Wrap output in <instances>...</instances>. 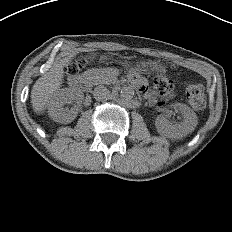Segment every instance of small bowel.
Here are the masks:
<instances>
[{
    "instance_id": "obj_1",
    "label": "small bowel",
    "mask_w": 232,
    "mask_h": 232,
    "mask_svg": "<svg viewBox=\"0 0 232 232\" xmlns=\"http://www.w3.org/2000/svg\"><path fill=\"white\" fill-rule=\"evenodd\" d=\"M139 84H140V89L146 94L149 101L152 102V103L155 102V97H154L153 93H151V92H149L147 90V87H146L145 83L140 82Z\"/></svg>"
}]
</instances>
